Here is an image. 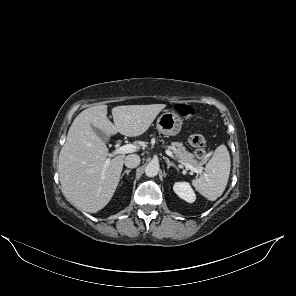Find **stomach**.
<instances>
[{"mask_svg": "<svg viewBox=\"0 0 296 296\" xmlns=\"http://www.w3.org/2000/svg\"><path fill=\"white\" fill-rule=\"evenodd\" d=\"M156 126L158 131L162 134L166 136H175L182 128V120L177 113L173 111H166L159 116Z\"/></svg>", "mask_w": 296, "mask_h": 296, "instance_id": "stomach-1", "label": "stomach"}]
</instances>
